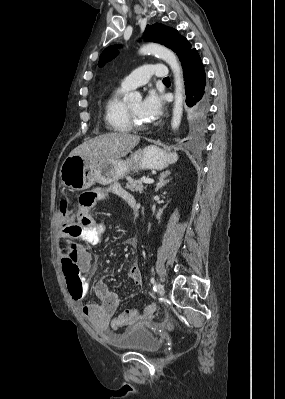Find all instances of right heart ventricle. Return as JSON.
Segmentation results:
<instances>
[{
  "instance_id": "obj_1",
  "label": "right heart ventricle",
  "mask_w": 285,
  "mask_h": 399,
  "mask_svg": "<svg viewBox=\"0 0 285 399\" xmlns=\"http://www.w3.org/2000/svg\"><path fill=\"white\" fill-rule=\"evenodd\" d=\"M127 90L121 86L115 89L106 99L104 106L105 123L113 132L126 133L132 129L127 113V105L122 99Z\"/></svg>"
}]
</instances>
